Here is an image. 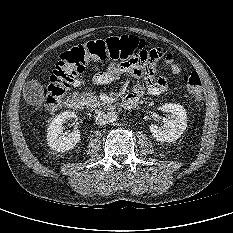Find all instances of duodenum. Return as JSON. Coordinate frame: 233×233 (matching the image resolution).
<instances>
[{"label": "duodenum", "mask_w": 233, "mask_h": 233, "mask_svg": "<svg viewBox=\"0 0 233 233\" xmlns=\"http://www.w3.org/2000/svg\"><path fill=\"white\" fill-rule=\"evenodd\" d=\"M138 97L136 95L129 94L125 97L122 102V105L126 109L134 108L138 103ZM66 105L73 110H81L83 109V101L76 96H69L66 100Z\"/></svg>", "instance_id": "1"}]
</instances>
